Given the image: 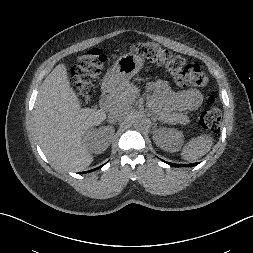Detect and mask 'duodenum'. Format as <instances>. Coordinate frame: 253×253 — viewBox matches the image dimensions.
<instances>
[{
	"instance_id": "1",
	"label": "duodenum",
	"mask_w": 253,
	"mask_h": 253,
	"mask_svg": "<svg viewBox=\"0 0 253 253\" xmlns=\"http://www.w3.org/2000/svg\"><path fill=\"white\" fill-rule=\"evenodd\" d=\"M114 80L109 77L102 85V95L100 104L104 109H110L113 106Z\"/></svg>"
}]
</instances>
